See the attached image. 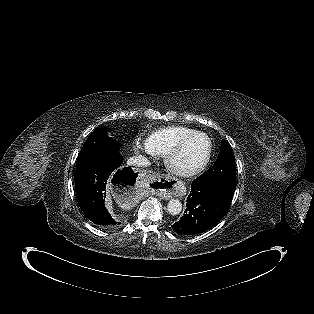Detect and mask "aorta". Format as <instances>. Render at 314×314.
<instances>
[{
    "label": "aorta",
    "instance_id": "762f6f07",
    "mask_svg": "<svg viewBox=\"0 0 314 314\" xmlns=\"http://www.w3.org/2000/svg\"><path fill=\"white\" fill-rule=\"evenodd\" d=\"M168 213L178 215L182 211V203L178 199H171L167 205Z\"/></svg>",
    "mask_w": 314,
    "mask_h": 314
}]
</instances>
